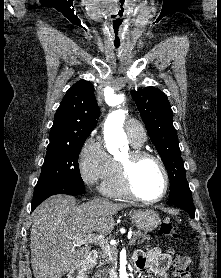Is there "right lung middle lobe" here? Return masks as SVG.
<instances>
[{
	"mask_svg": "<svg viewBox=\"0 0 221 278\" xmlns=\"http://www.w3.org/2000/svg\"><path fill=\"white\" fill-rule=\"evenodd\" d=\"M85 140L86 138L72 143L48 145L33 200L39 199L49 190L58 186L84 188L78 157Z\"/></svg>",
	"mask_w": 221,
	"mask_h": 278,
	"instance_id": "obj_1",
	"label": "right lung middle lobe"
}]
</instances>
